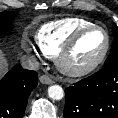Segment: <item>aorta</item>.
I'll return each instance as SVG.
<instances>
[{
	"instance_id": "762f6f07",
	"label": "aorta",
	"mask_w": 118,
	"mask_h": 118,
	"mask_svg": "<svg viewBox=\"0 0 118 118\" xmlns=\"http://www.w3.org/2000/svg\"><path fill=\"white\" fill-rule=\"evenodd\" d=\"M48 96L53 100H61L64 97L63 88L60 85H52L48 88Z\"/></svg>"
}]
</instances>
